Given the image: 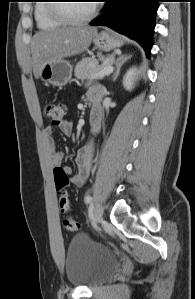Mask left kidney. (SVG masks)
Here are the masks:
<instances>
[{
	"instance_id": "5707ae66",
	"label": "left kidney",
	"mask_w": 195,
	"mask_h": 299,
	"mask_svg": "<svg viewBox=\"0 0 195 299\" xmlns=\"http://www.w3.org/2000/svg\"><path fill=\"white\" fill-rule=\"evenodd\" d=\"M135 76H136V68L132 67L127 71V73L123 77V86L126 90L130 91L133 89Z\"/></svg>"
}]
</instances>
